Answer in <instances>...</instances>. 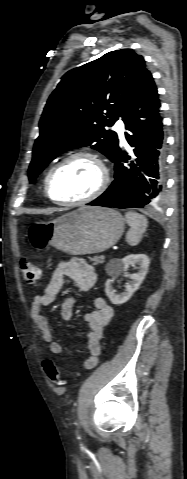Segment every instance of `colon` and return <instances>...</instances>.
<instances>
[{"label":"colon","instance_id":"1","mask_svg":"<svg viewBox=\"0 0 187 479\" xmlns=\"http://www.w3.org/2000/svg\"><path fill=\"white\" fill-rule=\"evenodd\" d=\"M20 270L25 283L33 284L41 277V268L29 259H22L20 261ZM43 368L50 379V381L57 385L63 386L64 380L62 379L61 369L51 360H45L43 362Z\"/></svg>","mask_w":187,"mask_h":479}]
</instances>
